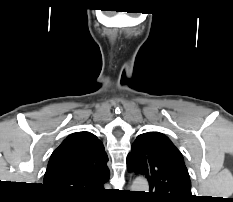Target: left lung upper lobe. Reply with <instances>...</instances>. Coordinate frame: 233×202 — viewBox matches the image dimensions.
<instances>
[{
    "instance_id": "left-lung-upper-lobe-1",
    "label": "left lung upper lobe",
    "mask_w": 233,
    "mask_h": 202,
    "mask_svg": "<svg viewBox=\"0 0 233 202\" xmlns=\"http://www.w3.org/2000/svg\"><path fill=\"white\" fill-rule=\"evenodd\" d=\"M127 168L149 180V197L156 202H189L191 181L181 152L163 134L139 135L127 156Z\"/></svg>"
}]
</instances>
